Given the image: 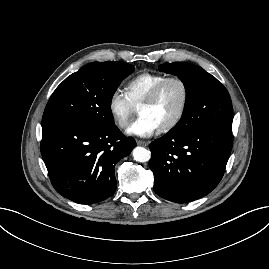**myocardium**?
<instances>
[{"label":"myocardium","mask_w":269,"mask_h":269,"mask_svg":"<svg viewBox=\"0 0 269 269\" xmlns=\"http://www.w3.org/2000/svg\"><path fill=\"white\" fill-rule=\"evenodd\" d=\"M171 82H177L178 84H180L182 91H183V101H182L181 108H180L179 112L177 113V115L174 117V119L171 122H169L168 124L160 127V130L162 132H168V131L174 129L176 126H178V124L184 118L185 113H186L187 108H188V105H189V100H190V89H189L188 83L183 78H181L179 76L167 77L164 80H162L161 82H159L148 93V95L144 98V100L139 104V107L140 106H148V105L153 104L157 100L158 96L160 95V93L162 92L164 87Z\"/></svg>","instance_id":"f54148a6"}]
</instances>
